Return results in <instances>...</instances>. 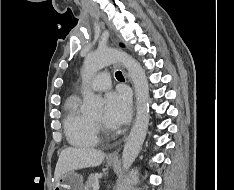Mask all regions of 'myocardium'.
<instances>
[{
  "label": "myocardium",
  "instance_id": "f54148a6",
  "mask_svg": "<svg viewBox=\"0 0 234 190\" xmlns=\"http://www.w3.org/2000/svg\"><path fill=\"white\" fill-rule=\"evenodd\" d=\"M92 121H93L95 127L97 128V130H100V131H102L104 133L108 132L106 126L104 125V123L102 121H98V120H95V119H92Z\"/></svg>",
  "mask_w": 234,
  "mask_h": 190
}]
</instances>
